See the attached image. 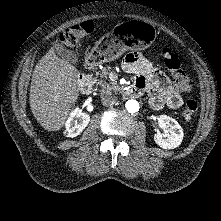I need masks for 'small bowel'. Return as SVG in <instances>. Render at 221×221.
<instances>
[{"label":"small bowel","instance_id":"c3829d8e","mask_svg":"<svg viewBox=\"0 0 221 221\" xmlns=\"http://www.w3.org/2000/svg\"><path fill=\"white\" fill-rule=\"evenodd\" d=\"M122 68L125 72L137 75L134 86L138 95L147 92L150 105L155 110L164 106L172 110L179 109L183 104L181 93L190 90H181L176 84H172L164 73L139 52L128 53L122 62Z\"/></svg>","mask_w":221,"mask_h":221}]
</instances>
